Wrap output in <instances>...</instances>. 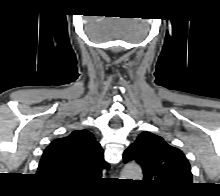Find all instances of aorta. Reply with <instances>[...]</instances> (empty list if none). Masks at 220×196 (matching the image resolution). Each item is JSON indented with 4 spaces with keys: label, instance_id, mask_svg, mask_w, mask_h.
<instances>
[{
    "label": "aorta",
    "instance_id": "762f6f07",
    "mask_svg": "<svg viewBox=\"0 0 220 196\" xmlns=\"http://www.w3.org/2000/svg\"><path fill=\"white\" fill-rule=\"evenodd\" d=\"M121 177V179L142 180L143 174L138 164L128 163L124 166Z\"/></svg>",
    "mask_w": 220,
    "mask_h": 196
}]
</instances>
